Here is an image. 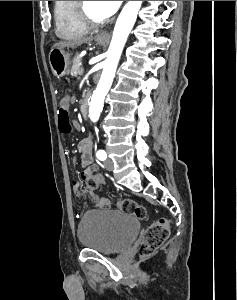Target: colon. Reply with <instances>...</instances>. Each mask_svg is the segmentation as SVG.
Returning <instances> with one entry per match:
<instances>
[{"label":"colon","mask_w":237,"mask_h":300,"mask_svg":"<svg viewBox=\"0 0 237 300\" xmlns=\"http://www.w3.org/2000/svg\"><path fill=\"white\" fill-rule=\"evenodd\" d=\"M59 130L64 134H70L73 130L68 107L61 105L58 113ZM86 187L89 191H95L99 185L104 183L100 175L91 172L84 174ZM118 208L127 214L135 216L138 219L146 218V209L141 204L131 199H122L118 202ZM169 236V224L167 220L160 219L152 223L145 231L143 239L139 246V254L142 257H148L155 253L167 240Z\"/></svg>","instance_id":"colon-1"}]
</instances>
